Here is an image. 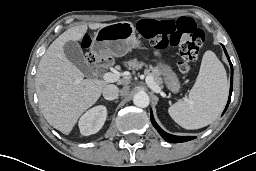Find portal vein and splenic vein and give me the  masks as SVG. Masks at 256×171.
<instances>
[{
  "label": "portal vein and splenic vein",
  "instance_id": "18ae733b",
  "mask_svg": "<svg viewBox=\"0 0 256 171\" xmlns=\"http://www.w3.org/2000/svg\"><path fill=\"white\" fill-rule=\"evenodd\" d=\"M102 78H103L106 82L113 83V82L118 81L119 75H118V74L111 73V72H107V73H104V74L102 75ZM146 82H147V84H149L150 88H151L153 91H155V92H160V87L154 83L153 79H152L150 76H148V77L146 78Z\"/></svg>",
  "mask_w": 256,
  "mask_h": 171
}]
</instances>
